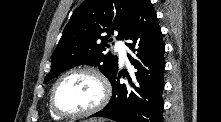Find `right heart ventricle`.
Returning <instances> with one entry per match:
<instances>
[{"instance_id": "e07e8e85", "label": "right heart ventricle", "mask_w": 221, "mask_h": 122, "mask_svg": "<svg viewBox=\"0 0 221 122\" xmlns=\"http://www.w3.org/2000/svg\"><path fill=\"white\" fill-rule=\"evenodd\" d=\"M50 114H51V116H52L54 119H59V118H60L58 115H56V114L52 111L51 108H50Z\"/></svg>"}]
</instances>
